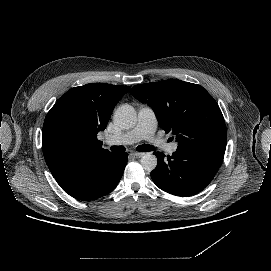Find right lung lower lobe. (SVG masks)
<instances>
[{
  "label": "right lung lower lobe",
  "instance_id": "obj_1",
  "mask_svg": "<svg viewBox=\"0 0 271 271\" xmlns=\"http://www.w3.org/2000/svg\"><path fill=\"white\" fill-rule=\"evenodd\" d=\"M127 161V153L85 156L53 176L70 196L82 201L95 200L115 189Z\"/></svg>",
  "mask_w": 271,
  "mask_h": 271
}]
</instances>
